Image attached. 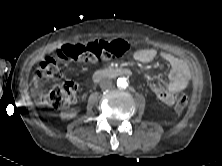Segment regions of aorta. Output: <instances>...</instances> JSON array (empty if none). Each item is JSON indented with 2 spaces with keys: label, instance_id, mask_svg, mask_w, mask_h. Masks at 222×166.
Returning <instances> with one entry per match:
<instances>
[{
  "label": "aorta",
  "instance_id": "762f6f07",
  "mask_svg": "<svg viewBox=\"0 0 222 166\" xmlns=\"http://www.w3.org/2000/svg\"><path fill=\"white\" fill-rule=\"evenodd\" d=\"M128 85L126 78L120 77L117 79V86L121 88H126Z\"/></svg>",
  "mask_w": 222,
  "mask_h": 166
}]
</instances>
